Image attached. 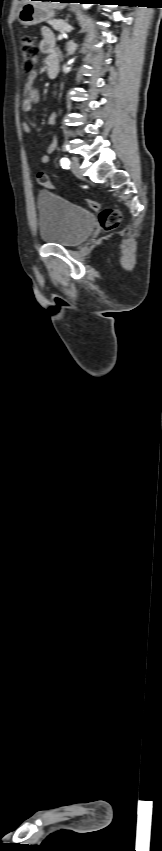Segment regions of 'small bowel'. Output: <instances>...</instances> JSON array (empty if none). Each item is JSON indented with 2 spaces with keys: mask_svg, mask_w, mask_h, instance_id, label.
Returning a JSON list of instances; mask_svg holds the SVG:
<instances>
[{
  "mask_svg": "<svg viewBox=\"0 0 162 851\" xmlns=\"http://www.w3.org/2000/svg\"><path fill=\"white\" fill-rule=\"evenodd\" d=\"M42 36L43 39L40 42L39 49L42 53L48 54L46 61L51 58L58 60L57 54L55 53V39L53 33L48 28H43ZM35 78L36 72L32 71L26 81L25 93L21 101V108L26 113H29L32 110L33 106L39 101V93L33 87ZM57 117L58 112L52 114L48 119V124H54ZM22 129L27 134L31 133V126L27 120H24L22 122ZM56 146L57 137L54 136L52 141L48 144L46 152L41 156V162L43 164H47L50 161V154L56 149Z\"/></svg>",
  "mask_w": 162,
  "mask_h": 851,
  "instance_id": "1",
  "label": "small bowel"
}]
</instances>
